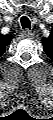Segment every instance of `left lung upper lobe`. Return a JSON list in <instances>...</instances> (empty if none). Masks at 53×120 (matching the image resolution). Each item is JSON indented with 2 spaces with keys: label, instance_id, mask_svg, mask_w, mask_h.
I'll use <instances>...</instances> for the list:
<instances>
[{
  "label": "left lung upper lobe",
  "instance_id": "1",
  "mask_svg": "<svg viewBox=\"0 0 53 120\" xmlns=\"http://www.w3.org/2000/svg\"><path fill=\"white\" fill-rule=\"evenodd\" d=\"M52 35L49 38L43 39L44 42V51L46 54L52 58L53 53V40L51 39Z\"/></svg>",
  "mask_w": 53,
  "mask_h": 120
}]
</instances>
